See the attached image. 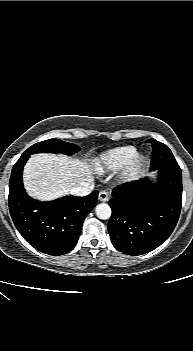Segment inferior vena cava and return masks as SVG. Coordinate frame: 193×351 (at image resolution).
Masks as SVG:
<instances>
[{"label": "inferior vena cava", "mask_w": 193, "mask_h": 351, "mask_svg": "<svg viewBox=\"0 0 193 351\" xmlns=\"http://www.w3.org/2000/svg\"><path fill=\"white\" fill-rule=\"evenodd\" d=\"M94 189L93 183H84L82 186L72 188L70 193L76 196H86Z\"/></svg>", "instance_id": "602c4592"}]
</instances>
